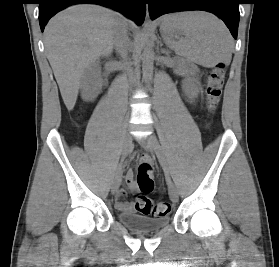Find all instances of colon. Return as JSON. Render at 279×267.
<instances>
[{"label": "colon", "instance_id": "colon-1", "mask_svg": "<svg viewBox=\"0 0 279 267\" xmlns=\"http://www.w3.org/2000/svg\"><path fill=\"white\" fill-rule=\"evenodd\" d=\"M225 67L224 63L217 64L208 76L205 100L209 112H214L219 104L226 74ZM137 184L140 194L135 198L134 208L136 211L154 217L166 215L170 211L168 202L154 203L147 197V194L154 189L153 167L149 161L144 160L140 163Z\"/></svg>", "mask_w": 279, "mask_h": 267}]
</instances>
